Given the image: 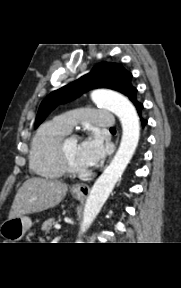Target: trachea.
I'll return each instance as SVG.
<instances>
[{
  "mask_svg": "<svg viewBox=\"0 0 181 288\" xmlns=\"http://www.w3.org/2000/svg\"><path fill=\"white\" fill-rule=\"evenodd\" d=\"M110 130H111V131H115V128H114V127H111Z\"/></svg>",
  "mask_w": 181,
  "mask_h": 288,
  "instance_id": "trachea-1",
  "label": "trachea"
}]
</instances>
